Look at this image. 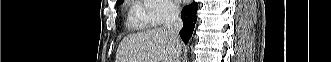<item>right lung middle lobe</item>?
Here are the masks:
<instances>
[{"label":"right lung middle lobe","instance_id":"right-lung-middle-lobe-1","mask_svg":"<svg viewBox=\"0 0 331 62\" xmlns=\"http://www.w3.org/2000/svg\"><path fill=\"white\" fill-rule=\"evenodd\" d=\"M122 3V1L121 2H118L117 4H121Z\"/></svg>","mask_w":331,"mask_h":62}]
</instances>
